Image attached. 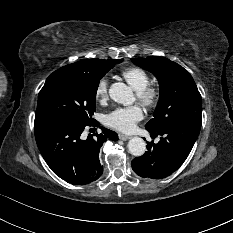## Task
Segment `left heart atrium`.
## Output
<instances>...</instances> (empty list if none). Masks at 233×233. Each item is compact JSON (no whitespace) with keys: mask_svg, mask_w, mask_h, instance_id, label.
<instances>
[{"mask_svg":"<svg viewBox=\"0 0 233 233\" xmlns=\"http://www.w3.org/2000/svg\"><path fill=\"white\" fill-rule=\"evenodd\" d=\"M143 119V111L139 106L119 107L105 117L106 124L119 131L128 132Z\"/></svg>","mask_w":233,"mask_h":233,"instance_id":"1","label":"left heart atrium"}]
</instances>
